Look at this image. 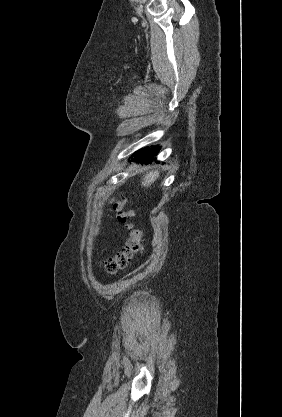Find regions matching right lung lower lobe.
Segmentation results:
<instances>
[{"mask_svg": "<svg viewBox=\"0 0 282 417\" xmlns=\"http://www.w3.org/2000/svg\"><path fill=\"white\" fill-rule=\"evenodd\" d=\"M159 147L144 148L134 153V158L131 161L140 163H150L153 160V156L157 155Z\"/></svg>", "mask_w": 282, "mask_h": 417, "instance_id": "obj_1", "label": "right lung lower lobe"}]
</instances>
